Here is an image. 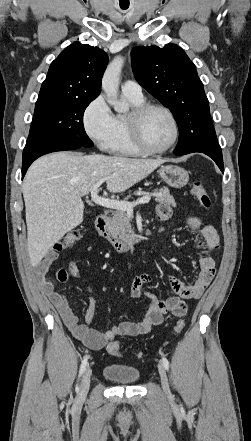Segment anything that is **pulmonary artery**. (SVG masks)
<instances>
[{
    "instance_id": "1",
    "label": "pulmonary artery",
    "mask_w": 251,
    "mask_h": 441,
    "mask_svg": "<svg viewBox=\"0 0 251 441\" xmlns=\"http://www.w3.org/2000/svg\"><path fill=\"white\" fill-rule=\"evenodd\" d=\"M121 89L124 95L134 97L143 96L141 86L134 80H126L125 82H123Z\"/></svg>"
}]
</instances>
